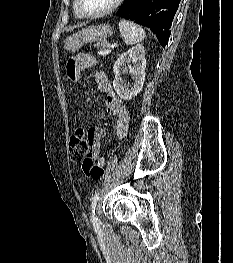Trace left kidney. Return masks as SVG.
<instances>
[{
    "label": "left kidney",
    "instance_id": "5707ae66",
    "mask_svg": "<svg viewBox=\"0 0 233 263\" xmlns=\"http://www.w3.org/2000/svg\"><path fill=\"white\" fill-rule=\"evenodd\" d=\"M130 62H132V65L128 66L129 73L134 79L132 87H129L120 77L121 73L128 71L125 65ZM145 68V50L142 44L135 45L120 55L113 66V72L115 74L113 87L121 99L126 101L131 100L140 93L145 80Z\"/></svg>",
    "mask_w": 233,
    "mask_h": 263
}]
</instances>
